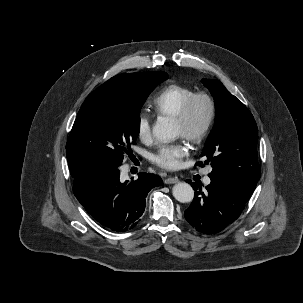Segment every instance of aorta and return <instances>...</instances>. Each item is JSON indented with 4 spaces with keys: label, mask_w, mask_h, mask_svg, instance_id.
I'll return each instance as SVG.
<instances>
[{
    "label": "aorta",
    "mask_w": 303,
    "mask_h": 303,
    "mask_svg": "<svg viewBox=\"0 0 303 303\" xmlns=\"http://www.w3.org/2000/svg\"><path fill=\"white\" fill-rule=\"evenodd\" d=\"M152 133L154 137L160 141L173 140L178 135L175 124L167 118L157 120L156 124L153 126ZM172 193L174 198L181 203H189L194 198L192 186L185 182L175 184Z\"/></svg>",
    "instance_id": "762f6f07"
}]
</instances>
